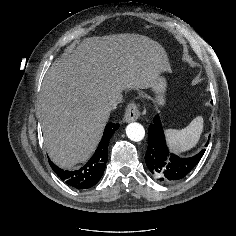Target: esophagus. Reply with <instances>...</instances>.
<instances>
[{"label": "esophagus", "mask_w": 236, "mask_h": 236, "mask_svg": "<svg viewBox=\"0 0 236 236\" xmlns=\"http://www.w3.org/2000/svg\"><path fill=\"white\" fill-rule=\"evenodd\" d=\"M139 116H140V111L138 105L132 102L127 106L123 120L124 122H132L136 121L139 118Z\"/></svg>", "instance_id": "1"}]
</instances>
